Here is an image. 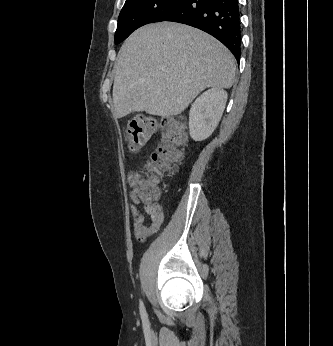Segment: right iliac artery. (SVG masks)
I'll return each mask as SVG.
<instances>
[{"mask_svg": "<svg viewBox=\"0 0 333 346\" xmlns=\"http://www.w3.org/2000/svg\"><path fill=\"white\" fill-rule=\"evenodd\" d=\"M140 314H141V318H142L143 327L145 330H148V328H149L148 315L146 313V310H145V307H144L142 301H140Z\"/></svg>", "mask_w": 333, "mask_h": 346, "instance_id": "82829eb1", "label": "right iliac artery"}]
</instances>
